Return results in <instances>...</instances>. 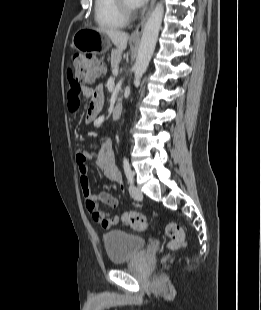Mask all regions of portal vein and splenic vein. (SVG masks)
Instances as JSON below:
<instances>
[{"label":"portal vein and splenic vein","mask_w":261,"mask_h":310,"mask_svg":"<svg viewBox=\"0 0 261 310\" xmlns=\"http://www.w3.org/2000/svg\"><path fill=\"white\" fill-rule=\"evenodd\" d=\"M112 74L116 76V75L118 74V69H117V68H114V69L112 70Z\"/></svg>","instance_id":"1"}]
</instances>
